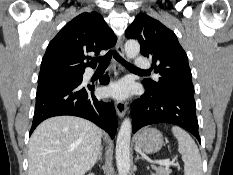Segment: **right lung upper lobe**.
I'll return each instance as SVG.
<instances>
[{
    "mask_svg": "<svg viewBox=\"0 0 233 175\" xmlns=\"http://www.w3.org/2000/svg\"><path fill=\"white\" fill-rule=\"evenodd\" d=\"M116 41V35L99 13H82L67 23L49 43L39 78L81 74L88 66L95 68V62H83L90 59L87 54H99L114 46Z\"/></svg>",
    "mask_w": 233,
    "mask_h": 175,
    "instance_id": "right-lung-upper-lobe-1",
    "label": "right lung upper lobe"
}]
</instances>
